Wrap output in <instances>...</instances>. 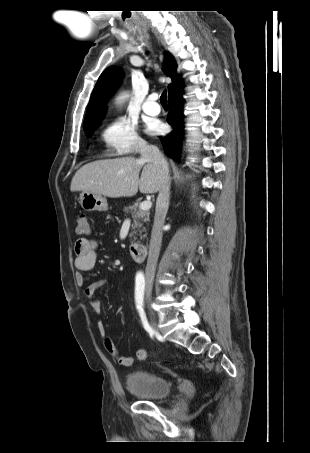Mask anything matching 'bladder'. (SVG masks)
Instances as JSON below:
<instances>
[{"mask_svg":"<svg viewBox=\"0 0 310 453\" xmlns=\"http://www.w3.org/2000/svg\"><path fill=\"white\" fill-rule=\"evenodd\" d=\"M126 388L142 400H159L169 396L171 386L168 380L149 371H135L126 379Z\"/></svg>","mask_w":310,"mask_h":453,"instance_id":"1","label":"bladder"}]
</instances>
